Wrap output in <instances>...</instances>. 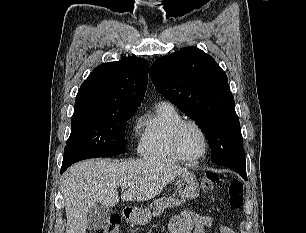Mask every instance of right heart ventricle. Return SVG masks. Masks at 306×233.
<instances>
[{"mask_svg":"<svg viewBox=\"0 0 306 233\" xmlns=\"http://www.w3.org/2000/svg\"><path fill=\"white\" fill-rule=\"evenodd\" d=\"M179 111L168 102L158 103L141 121L140 154L148 159L178 162L172 146L175 127L183 121Z\"/></svg>","mask_w":306,"mask_h":233,"instance_id":"e07e8e85","label":"right heart ventricle"}]
</instances>
